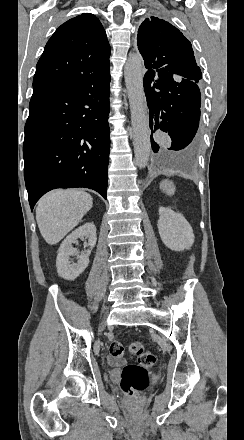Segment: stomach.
Returning <instances> with one entry per match:
<instances>
[{
    "mask_svg": "<svg viewBox=\"0 0 244 440\" xmlns=\"http://www.w3.org/2000/svg\"><path fill=\"white\" fill-rule=\"evenodd\" d=\"M160 190L165 192L167 196H174L176 188L171 180H163L160 184Z\"/></svg>",
    "mask_w": 244,
    "mask_h": 440,
    "instance_id": "stomach-1",
    "label": "stomach"
}]
</instances>
